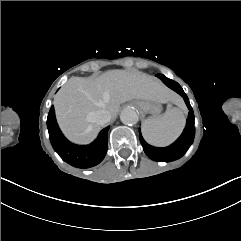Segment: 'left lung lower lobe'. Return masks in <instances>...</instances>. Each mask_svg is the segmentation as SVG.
I'll list each match as a JSON object with an SVG mask.
<instances>
[{"instance_id":"obj_1","label":"left lung lower lobe","mask_w":241,"mask_h":241,"mask_svg":"<svg viewBox=\"0 0 241 241\" xmlns=\"http://www.w3.org/2000/svg\"><path fill=\"white\" fill-rule=\"evenodd\" d=\"M156 76L161 79L163 83L166 84L169 88L181 95L184 98V101L189 109L186 127L182 135L172 145L168 147L159 148L147 144L142 138L141 132L139 131L140 142L146 155L154 161L168 162L181 157L192 144L195 135L194 113L187 95L176 81L165 77L163 74H157Z\"/></svg>"}]
</instances>
